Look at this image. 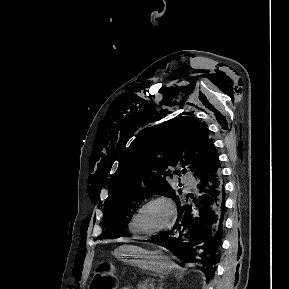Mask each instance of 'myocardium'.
I'll list each match as a JSON object with an SVG mask.
<instances>
[{
    "instance_id": "f54148a6",
    "label": "myocardium",
    "mask_w": 289,
    "mask_h": 289,
    "mask_svg": "<svg viewBox=\"0 0 289 289\" xmlns=\"http://www.w3.org/2000/svg\"><path fill=\"white\" fill-rule=\"evenodd\" d=\"M152 203L164 204L169 210V220L166 223V225H164L162 228H159V229L154 230L152 232H147V233L142 232L136 228V220H137L138 216L140 215V213L143 211V209ZM176 216H177L176 206L170 198H168L166 196H160V195L153 196V197L147 199L146 201H144L138 207V209L135 211V213L133 214L131 221H130V227H131V230L139 236L151 237V236H154V235H157V234H160L162 232L169 230L173 226V224L176 220Z\"/></svg>"
}]
</instances>
